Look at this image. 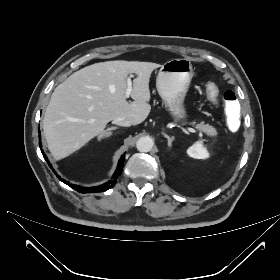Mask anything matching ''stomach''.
Listing matches in <instances>:
<instances>
[{"instance_id":"obj_1","label":"stomach","mask_w":280,"mask_h":280,"mask_svg":"<svg viewBox=\"0 0 280 280\" xmlns=\"http://www.w3.org/2000/svg\"><path fill=\"white\" fill-rule=\"evenodd\" d=\"M193 69L187 58L165 62L157 75V91L171 116L178 120L187 118L184 99L188 91Z\"/></svg>"}]
</instances>
